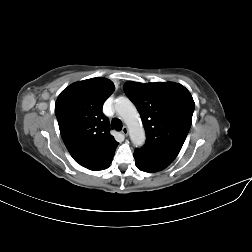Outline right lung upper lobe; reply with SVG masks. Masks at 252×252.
Here are the masks:
<instances>
[{
  "instance_id": "1",
  "label": "right lung upper lobe",
  "mask_w": 252,
  "mask_h": 252,
  "mask_svg": "<svg viewBox=\"0 0 252 252\" xmlns=\"http://www.w3.org/2000/svg\"><path fill=\"white\" fill-rule=\"evenodd\" d=\"M115 86L105 78H91L68 86L58 96L55 115L63 142L83 167H109L118 142L110 134L109 120L102 113Z\"/></svg>"
}]
</instances>
